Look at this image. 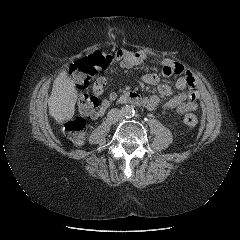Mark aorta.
<instances>
[{
	"label": "aorta",
	"instance_id": "aorta-1",
	"mask_svg": "<svg viewBox=\"0 0 240 240\" xmlns=\"http://www.w3.org/2000/svg\"><path fill=\"white\" fill-rule=\"evenodd\" d=\"M121 113H122L123 117L130 118V117L134 116L135 110H134L133 106L125 105L121 108Z\"/></svg>",
	"mask_w": 240,
	"mask_h": 240
}]
</instances>
